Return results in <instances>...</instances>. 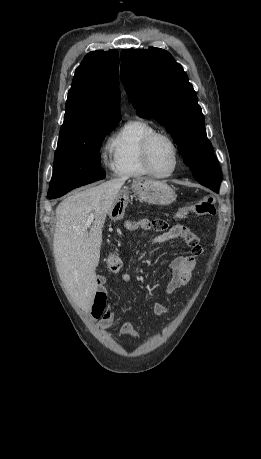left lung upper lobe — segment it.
I'll use <instances>...</instances> for the list:
<instances>
[{
    "mask_svg": "<svg viewBox=\"0 0 261 459\" xmlns=\"http://www.w3.org/2000/svg\"><path fill=\"white\" fill-rule=\"evenodd\" d=\"M121 80L137 114L164 125L198 181L221 182L204 116L183 67L160 48L121 51Z\"/></svg>",
    "mask_w": 261,
    "mask_h": 459,
    "instance_id": "left-lung-upper-lobe-1",
    "label": "left lung upper lobe"
}]
</instances>
